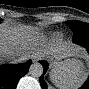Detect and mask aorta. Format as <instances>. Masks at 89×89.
Returning a JSON list of instances; mask_svg holds the SVG:
<instances>
[{
	"label": "aorta",
	"instance_id": "aorta-1",
	"mask_svg": "<svg viewBox=\"0 0 89 89\" xmlns=\"http://www.w3.org/2000/svg\"><path fill=\"white\" fill-rule=\"evenodd\" d=\"M29 74L32 77L38 78L43 74V67L39 63H34L30 66Z\"/></svg>",
	"mask_w": 89,
	"mask_h": 89
}]
</instances>
